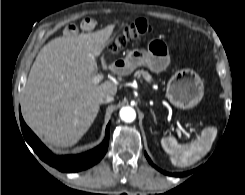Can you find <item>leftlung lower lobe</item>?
I'll list each match as a JSON object with an SVG mask.
<instances>
[{"label": "left lung lower lobe", "mask_w": 245, "mask_h": 195, "mask_svg": "<svg viewBox=\"0 0 245 195\" xmlns=\"http://www.w3.org/2000/svg\"><path fill=\"white\" fill-rule=\"evenodd\" d=\"M145 156H146L147 160L149 161V163L152 164V162H151L150 158L148 157V155L146 154V152H145ZM156 169H157V167H156ZM158 170H159V169H158ZM160 172H162V173H164V174H167V175H169V176H174V177H183V176H186V175L190 174V171H188V172H183V173H173V174L164 172V171H162V170H160Z\"/></svg>", "instance_id": "0a47b994"}]
</instances>
